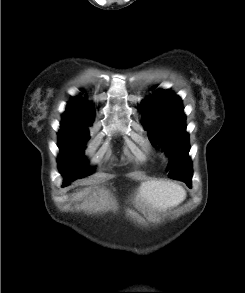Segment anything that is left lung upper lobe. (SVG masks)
<instances>
[{
  "mask_svg": "<svg viewBox=\"0 0 245 293\" xmlns=\"http://www.w3.org/2000/svg\"><path fill=\"white\" fill-rule=\"evenodd\" d=\"M142 124L149 139L162 142L169 155L168 176L180 180L192 176V163L188 156L189 135L186 133L182 100L170 90L157 91L142 102Z\"/></svg>",
  "mask_w": 245,
  "mask_h": 293,
  "instance_id": "5c2ea615",
  "label": "left lung upper lobe"
}]
</instances>
